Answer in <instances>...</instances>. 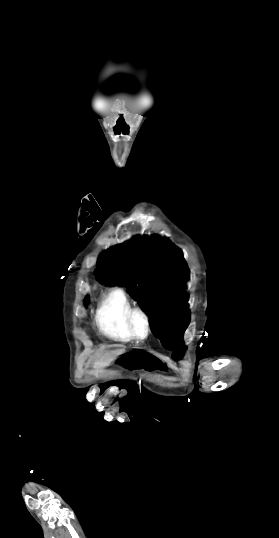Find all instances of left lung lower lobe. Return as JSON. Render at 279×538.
Returning <instances> with one entry per match:
<instances>
[{
    "mask_svg": "<svg viewBox=\"0 0 279 538\" xmlns=\"http://www.w3.org/2000/svg\"><path fill=\"white\" fill-rule=\"evenodd\" d=\"M156 337L161 340L162 345L167 349L173 350L179 348L173 353L174 359L179 360L182 357L183 351L186 349V347L182 346V335H179L176 332H165L156 335Z\"/></svg>",
    "mask_w": 279,
    "mask_h": 538,
    "instance_id": "left-lung-lower-lobe-1",
    "label": "left lung lower lobe"
}]
</instances>
